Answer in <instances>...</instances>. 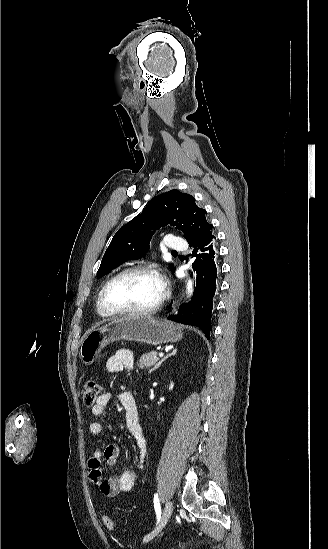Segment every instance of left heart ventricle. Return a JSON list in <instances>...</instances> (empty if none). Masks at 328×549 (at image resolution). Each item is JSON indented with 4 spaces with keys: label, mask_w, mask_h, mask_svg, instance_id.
I'll list each match as a JSON object with an SVG mask.
<instances>
[{
    "label": "left heart ventricle",
    "mask_w": 328,
    "mask_h": 549,
    "mask_svg": "<svg viewBox=\"0 0 328 549\" xmlns=\"http://www.w3.org/2000/svg\"><path fill=\"white\" fill-rule=\"evenodd\" d=\"M163 291L161 279L147 271H133L114 282L107 292L115 310L143 309L158 300Z\"/></svg>",
    "instance_id": "left-heart-ventricle-1"
}]
</instances>
